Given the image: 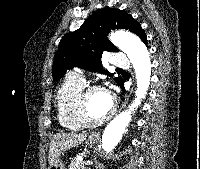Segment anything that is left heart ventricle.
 I'll list each match as a JSON object with an SVG mask.
<instances>
[{"mask_svg":"<svg viewBox=\"0 0 200 169\" xmlns=\"http://www.w3.org/2000/svg\"><path fill=\"white\" fill-rule=\"evenodd\" d=\"M111 108L107 95L103 91H94L87 96L86 112L90 121H98L105 117Z\"/></svg>","mask_w":200,"mask_h":169,"instance_id":"obj_1","label":"left heart ventricle"}]
</instances>
